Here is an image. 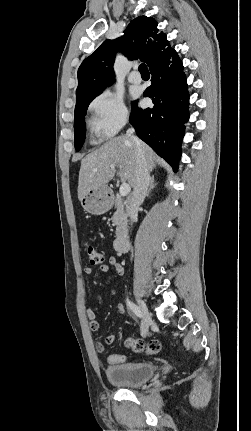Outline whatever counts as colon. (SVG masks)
<instances>
[{
	"label": "colon",
	"instance_id": "5ec220e1",
	"mask_svg": "<svg viewBox=\"0 0 251 431\" xmlns=\"http://www.w3.org/2000/svg\"><path fill=\"white\" fill-rule=\"evenodd\" d=\"M85 251L87 258L92 265H101L103 263V255L89 243H85ZM125 345L134 352H144L149 355L160 352L162 345L158 340L152 339L147 342L141 339L128 338ZM127 356L124 353H107L106 360L113 366H122L125 363Z\"/></svg>",
	"mask_w": 251,
	"mask_h": 431
}]
</instances>
